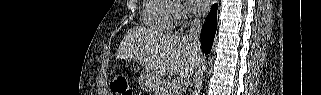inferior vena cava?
I'll use <instances>...</instances> for the list:
<instances>
[{
    "label": "inferior vena cava",
    "instance_id": "inferior-vena-cava-1",
    "mask_svg": "<svg viewBox=\"0 0 321 95\" xmlns=\"http://www.w3.org/2000/svg\"><path fill=\"white\" fill-rule=\"evenodd\" d=\"M201 21L195 18L191 23L188 39L194 44L200 46Z\"/></svg>",
    "mask_w": 321,
    "mask_h": 95
}]
</instances>
